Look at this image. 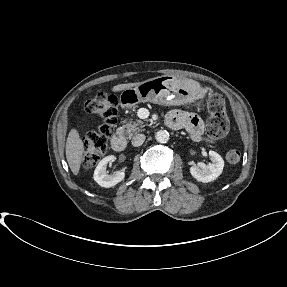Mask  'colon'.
Listing matches in <instances>:
<instances>
[{
    "label": "colon",
    "instance_id": "obj_1",
    "mask_svg": "<svg viewBox=\"0 0 287 287\" xmlns=\"http://www.w3.org/2000/svg\"><path fill=\"white\" fill-rule=\"evenodd\" d=\"M86 111L99 117L102 124L95 130L89 131L83 138V165L87 168L98 163L107 149L108 139L115 131L118 113V100L109 93L100 92L86 103ZM208 135L212 139H221L229 130V120L226 115L225 101L220 94H212L207 101ZM226 159L236 164L241 159V152L230 148L226 152Z\"/></svg>",
    "mask_w": 287,
    "mask_h": 287
}]
</instances>
